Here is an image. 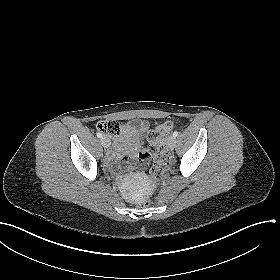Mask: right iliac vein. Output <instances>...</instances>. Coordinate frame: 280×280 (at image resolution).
Here are the masks:
<instances>
[{
    "mask_svg": "<svg viewBox=\"0 0 280 280\" xmlns=\"http://www.w3.org/2000/svg\"><path fill=\"white\" fill-rule=\"evenodd\" d=\"M101 143H102L104 148H109V146H110V140L107 136H103L101 138Z\"/></svg>",
    "mask_w": 280,
    "mask_h": 280,
    "instance_id": "63e3f726",
    "label": "right iliac vein"
}]
</instances>
